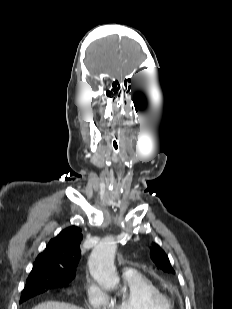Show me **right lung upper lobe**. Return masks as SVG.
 <instances>
[{
  "mask_svg": "<svg viewBox=\"0 0 232 309\" xmlns=\"http://www.w3.org/2000/svg\"><path fill=\"white\" fill-rule=\"evenodd\" d=\"M81 230L76 226L62 230L41 252L29 276L45 273L72 280L81 253Z\"/></svg>",
  "mask_w": 232,
  "mask_h": 309,
  "instance_id": "right-lung-upper-lobe-1",
  "label": "right lung upper lobe"
}]
</instances>
